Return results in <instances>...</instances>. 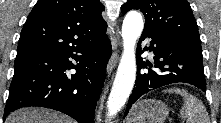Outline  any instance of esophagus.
<instances>
[{
    "instance_id": "esophagus-1",
    "label": "esophagus",
    "mask_w": 221,
    "mask_h": 123,
    "mask_svg": "<svg viewBox=\"0 0 221 123\" xmlns=\"http://www.w3.org/2000/svg\"><path fill=\"white\" fill-rule=\"evenodd\" d=\"M119 56L117 52H114L109 59L108 65H107V74L110 75L111 72L113 71L114 67L116 66L118 62Z\"/></svg>"
}]
</instances>
